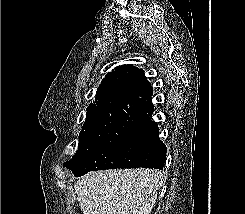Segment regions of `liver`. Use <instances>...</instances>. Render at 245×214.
I'll return each instance as SVG.
<instances>
[{
    "instance_id": "1",
    "label": "liver",
    "mask_w": 245,
    "mask_h": 214,
    "mask_svg": "<svg viewBox=\"0 0 245 214\" xmlns=\"http://www.w3.org/2000/svg\"><path fill=\"white\" fill-rule=\"evenodd\" d=\"M165 178L159 170L96 171L74 184L83 214H150Z\"/></svg>"
}]
</instances>
